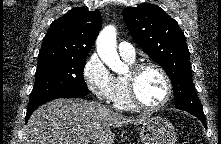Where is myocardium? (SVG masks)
<instances>
[{"instance_id": "f54148a6", "label": "myocardium", "mask_w": 221, "mask_h": 144, "mask_svg": "<svg viewBox=\"0 0 221 144\" xmlns=\"http://www.w3.org/2000/svg\"><path fill=\"white\" fill-rule=\"evenodd\" d=\"M147 68H154L158 70L164 78L166 84V94L164 99L156 104V105H147L143 103L137 94L136 90V81L138 76ZM126 87H127V94L129 101L131 104L138 109L148 110V111H155L162 107H164L171 99L173 93V84L171 78L167 71L159 64L154 62H142L137 63L131 66L129 74L125 77Z\"/></svg>"}]
</instances>
